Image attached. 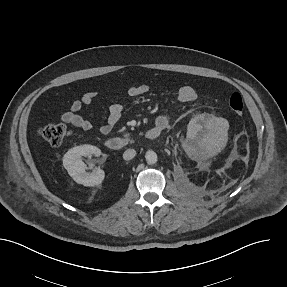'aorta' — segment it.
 <instances>
[{
	"label": "aorta",
	"mask_w": 287,
	"mask_h": 287,
	"mask_svg": "<svg viewBox=\"0 0 287 287\" xmlns=\"http://www.w3.org/2000/svg\"><path fill=\"white\" fill-rule=\"evenodd\" d=\"M145 158L149 164H155L158 160L157 154L151 150L146 152Z\"/></svg>",
	"instance_id": "1"
}]
</instances>
